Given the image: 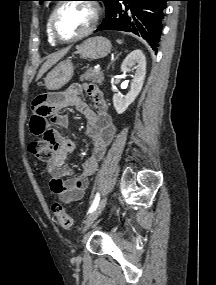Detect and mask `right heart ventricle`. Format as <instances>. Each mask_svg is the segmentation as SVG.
Masks as SVG:
<instances>
[{"label": "right heart ventricle", "instance_id": "e07e8e85", "mask_svg": "<svg viewBox=\"0 0 216 285\" xmlns=\"http://www.w3.org/2000/svg\"><path fill=\"white\" fill-rule=\"evenodd\" d=\"M50 16H51V13L49 14L47 21H46V34H47L49 43L52 45H55L57 41H55L54 38L52 37L51 32H50V27H49Z\"/></svg>", "mask_w": 216, "mask_h": 285}]
</instances>
